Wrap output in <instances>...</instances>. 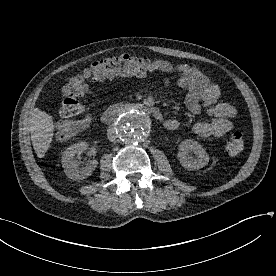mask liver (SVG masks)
I'll use <instances>...</instances> for the list:
<instances>
[{
    "instance_id": "liver-1",
    "label": "liver",
    "mask_w": 276,
    "mask_h": 276,
    "mask_svg": "<svg viewBox=\"0 0 276 276\" xmlns=\"http://www.w3.org/2000/svg\"><path fill=\"white\" fill-rule=\"evenodd\" d=\"M29 130L33 148L39 158H43L51 146L54 123L51 115L34 108L29 118Z\"/></svg>"
}]
</instances>
